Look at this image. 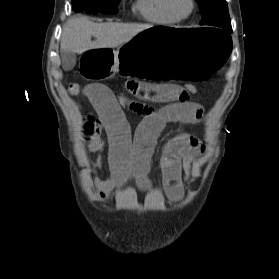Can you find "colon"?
<instances>
[{"mask_svg":"<svg viewBox=\"0 0 279 279\" xmlns=\"http://www.w3.org/2000/svg\"><path fill=\"white\" fill-rule=\"evenodd\" d=\"M84 87L78 83H70L68 85V91L71 95L79 96L82 95ZM197 92L196 86L193 84H187L181 87L180 96L190 97L192 94ZM117 101L125 107H139L144 104L142 100L136 99L134 97H128L125 95L116 96Z\"/></svg>","mask_w":279,"mask_h":279,"instance_id":"colon-1","label":"colon"}]
</instances>
